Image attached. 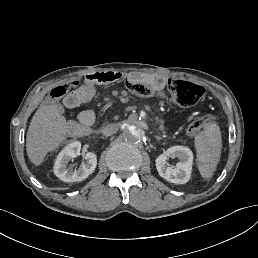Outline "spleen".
<instances>
[{
	"instance_id": "1",
	"label": "spleen",
	"mask_w": 258,
	"mask_h": 258,
	"mask_svg": "<svg viewBox=\"0 0 258 258\" xmlns=\"http://www.w3.org/2000/svg\"><path fill=\"white\" fill-rule=\"evenodd\" d=\"M200 173L211 178L220 159L222 138L219 127L210 125L195 137Z\"/></svg>"
}]
</instances>
